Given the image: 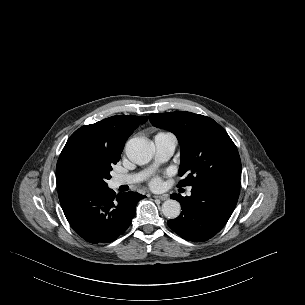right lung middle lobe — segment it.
<instances>
[{"mask_svg": "<svg viewBox=\"0 0 305 305\" xmlns=\"http://www.w3.org/2000/svg\"><path fill=\"white\" fill-rule=\"evenodd\" d=\"M119 159L92 142L72 141L65 145L58 159L57 184L63 188H106L112 165Z\"/></svg>", "mask_w": 305, "mask_h": 305, "instance_id": "dd1d6c3e", "label": "right lung middle lobe"}]
</instances>
